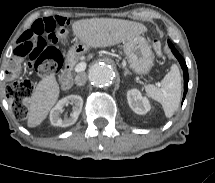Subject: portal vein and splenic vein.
I'll use <instances>...</instances> for the list:
<instances>
[{
  "instance_id": "1",
  "label": "portal vein and splenic vein",
  "mask_w": 215,
  "mask_h": 183,
  "mask_svg": "<svg viewBox=\"0 0 215 183\" xmlns=\"http://www.w3.org/2000/svg\"><path fill=\"white\" fill-rule=\"evenodd\" d=\"M86 69V63L85 62H80L76 65L75 67V72L79 73L82 72Z\"/></svg>"
}]
</instances>
